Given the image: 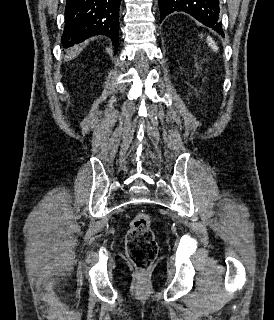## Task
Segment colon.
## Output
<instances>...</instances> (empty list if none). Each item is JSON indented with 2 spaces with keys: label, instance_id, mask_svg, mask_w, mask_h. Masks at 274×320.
I'll return each mask as SVG.
<instances>
[{
  "label": "colon",
  "instance_id": "5ec220e1",
  "mask_svg": "<svg viewBox=\"0 0 274 320\" xmlns=\"http://www.w3.org/2000/svg\"><path fill=\"white\" fill-rule=\"evenodd\" d=\"M125 239L133 267L139 272L149 271L156 258L158 244L148 214L140 213L131 220Z\"/></svg>",
  "mask_w": 274,
  "mask_h": 320
}]
</instances>
